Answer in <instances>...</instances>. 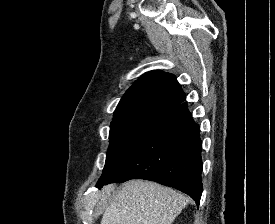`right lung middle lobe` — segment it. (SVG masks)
<instances>
[{"mask_svg":"<svg viewBox=\"0 0 275 224\" xmlns=\"http://www.w3.org/2000/svg\"><path fill=\"white\" fill-rule=\"evenodd\" d=\"M164 114L161 110H142L113 119L109 134L110 146L98 183L114 175Z\"/></svg>","mask_w":275,"mask_h":224,"instance_id":"1","label":"right lung middle lobe"}]
</instances>
